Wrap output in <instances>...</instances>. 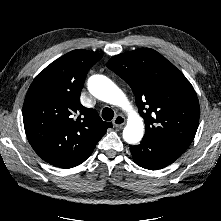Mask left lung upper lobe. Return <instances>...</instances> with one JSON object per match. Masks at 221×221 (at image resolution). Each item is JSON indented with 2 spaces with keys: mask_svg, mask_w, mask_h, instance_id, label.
<instances>
[{
  "mask_svg": "<svg viewBox=\"0 0 221 221\" xmlns=\"http://www.w3.org/2000/svg\"><path fill=\"white\" fill-rule=\"evenodd\" d=\"M107 67L125 80L136 97L149 139L184 153L196 134L200 108L186 77L153 49L112 57Z\"/></svg>",
  "mask_w": 221,
  "mask_h": 221,
  "instance_id": "5c2ea615",
  "label": "left lung upper lobe"
}]
</instances>
